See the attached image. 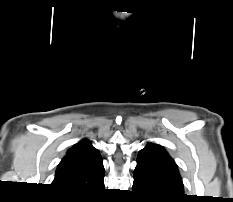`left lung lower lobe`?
Segmentation results:
<instances>
[{
	"mask_svg": "<svg viewBox=\"0 0 233 202\" xmlns=\"http://www.w3.org/2000/svg\"><path fill=\"white\" fill-rule=\"evenodd\" d=\"M133 191L138 192V194L145 196L149 200L157 202H180L179 197H158L152 191H150L143 183L138 179L134 178V183L132 187Z\"/></svg>",
	"mask_w": 233,
	"mask_h": 202,
	"instance_id": "1",
	"label": "left lung lower lobe"
}]
</instances>
